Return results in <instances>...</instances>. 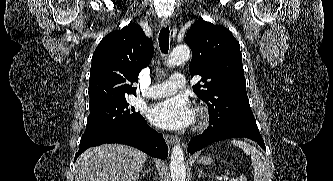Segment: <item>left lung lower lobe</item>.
Here are the masks:
<instances>
[{
    "label": "left lung lower lobe",
    "mask_w": 333,
    "mask_h": 181,
    "mask_svg": "<svg viewBox=\"0 0 333 181\" xmlns=\"http://www.w3.org/2000/svg\"><path fill=\"white\" fill-rule=\"evenodd\" d=\"M234 137L252 139L266 151L264 141L259 131L237 124V122L227 114L216 113L210 114L209 127L201 135L191 138V142L188 145V152L193 154L213 142Z\"/></svg>",
    "instance_id": "0a47b994"
}]
</instances>
